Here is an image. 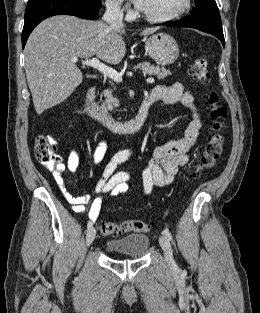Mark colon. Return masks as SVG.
<instances>
[{
  "instance_id": "obj_1",
  "label": "colon",
  "mask_w": 260,
  "mask_h": 313,
  "mask_svg": "<svg viewBox=\"0 0 260 313\" xmlns=\"http://www.w3.org/2000/svg\"><path fill=\"white\" fill-rule=\"evenodd\" d=\"M190 75L197 82L208 85L211 80L208 62L206 59L198 58L189 67ZM210 105V118L212 120L213 132L205 145L200 162L189 172L190 180L198 179L204 172L212 169L218 161L224 143V119L227 115L226 108L219 104V97L211 92L207 97ZM35 155L37 160L48 169H59L60 157L56 152V141L47 135L37 136L35 143ZM150 229L149 223L142 220H125L120 222H103L100 231L104 236L117 237L126 233H145Z\"/></svg>"
}]
</instances>
